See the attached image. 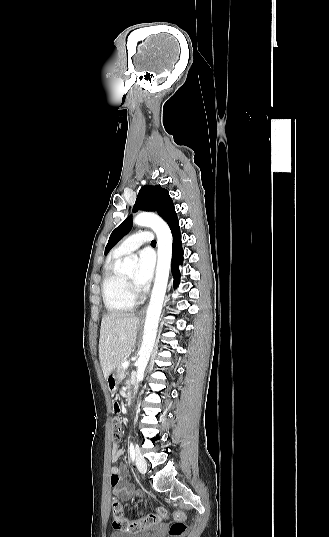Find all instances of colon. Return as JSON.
<instances>
[{
  "label": "colon",
  "instance_id": "colon-1",
  "mask_svg": "<svg viewBox=\"0 0 329 537\" xmlns=\"http://www.w3.org/2000/svg\"><path fill=\"white\" fill-rule=\"evenodd\" d=\"M122 426L118 418H114L112 425V438L114 441H119L122 437ZM111 513L113 516L112 526L120 535H131L137 532L154 526L164 520L172 519L169 535L170 537H183L187 531V524L184 520L182 512H174L170 514L166 509L159 508L155 512L150 513L142 518L129 520L124 516L123 505L119 500L113 498L111 502Z\"/></svg>",
  "mask_w": 329,
  "mask_h": 537
}]
</instances>
